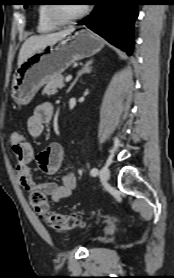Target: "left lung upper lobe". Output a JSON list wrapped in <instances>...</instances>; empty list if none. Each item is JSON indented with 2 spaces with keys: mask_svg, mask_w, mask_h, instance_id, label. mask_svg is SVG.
Here are the masks:
<instances>
[{
  "mask_svg": "<svg viewBox=\"0 0 174 278\" xmlns=\"http://www.w3.org/2000/svg\"><path fill=\"white\" fill-rule=\"evenodd\" d=\"M26 1H29V0H26ZM29 5V3H24V6L27 7Z\"/></svg>",
  "mask_w": 174,
  "mask_h": 278,
  "instance_id": "left-lung-upper-lobe-1",
  "label": "left lung upper lobe"
}]
</instances>
